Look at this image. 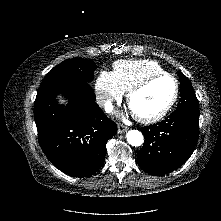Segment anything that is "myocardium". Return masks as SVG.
Returning <instances> with one entry per match:
<instances>
[{
	"mask_svg": "<svg viewBox=\"0 0 221 221\" xmlns=\"http://www.w3.org/2000/svg\"><path fill=\"white\" fill-rule=\"evenodd\" d=\"M160 78H169L170 80H172V82L174 84L173 96L171 97V99L167 103V105L161 111H159L158 113H156L154 115H151V116H140V115L134 114L135 118L139 122H141V123L150 124V123L158 122L159 120L164 118L169 113V111L172 109V107L176 103L178 95H179V84H178V81H177V79L173 75H171V74H169L167 72H163V73L154 74V75H151V76L145 78L143 81H141L140 83L136 84L129 91H127L126 101H127V104L130 106V101L133 98V96H135L137 93H139L142 90H144L153 81H155L157 79H160Z\"/></svg>",
	"mask_w": 221,
	"mask_h": 221,
	"instance_id": "f54148a6",
	"label": "myocardium"
}]
</instances>
